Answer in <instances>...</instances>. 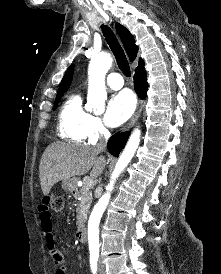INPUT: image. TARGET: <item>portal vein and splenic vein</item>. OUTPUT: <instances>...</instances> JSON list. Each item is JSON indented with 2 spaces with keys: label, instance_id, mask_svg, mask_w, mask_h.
<instances>
[{
  "label": "portal vein and splenic vein",
  "instance_id": "portal-vein-and-splenic-vein-1",
  "mask_svg": "<svg viewBox=\"0 0 221 274\" xmlns=\"http://www.w3.org/2000/svg\"><path fill=\"white\" fill-rule=\"evenodd\" d=\"M84 184L86 185V187L90 188L94 185V182L92 179L86 178L84 179Z\"/></svg>",
  "mask_w": 221,
  "mask_h": 274
}]
</instances>
